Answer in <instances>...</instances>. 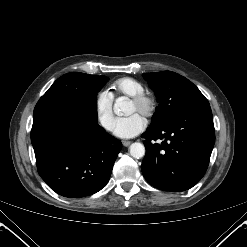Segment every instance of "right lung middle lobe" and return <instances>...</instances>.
Segmentation results:
<instances>
[{
  "label": "right lung middle lobe",
  "instance_id": "1",
  "mask_svg": "<svg viewBox=\"0 0 247 247\" xmlns=\"http://www.w3.org/2000/svg\"><path fill=\"white\" fill-rule=\"evenodd\" d=\"M107 80L108 78L105 76L72 72L58 78L44 95H66L97 99V93Z\"/></svg>",
  "mask_w": 247,
  "mask_h": 247
}]
</instances>
